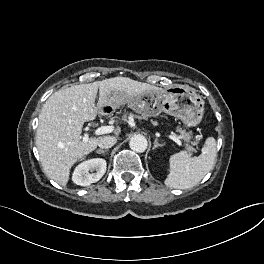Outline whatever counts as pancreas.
I'll use <instances>...</instances> for the list:
<instances>
[{"label": "pancreas", "instance_id": "obj_1", "mask_svg": "<svg viewBox=\"0 0 264 264\" xmlns=\"http://www.w3.org/2000/svg\"><path fill=\"white\" fill-rule=\"evenodd\" d=\"M133 116V115H130ZM177 131L180 133V138H182L183 140H185L186 142H190L191 138H192V133L191 132H187L186 130H183L181 128H178ZM194 145L198 144V141L193 142ZM187 150L191 151L194 150L193 147L187 145Z\"/></svg>", "mask_w": 264, "mask_h": 264}]
</instances>
